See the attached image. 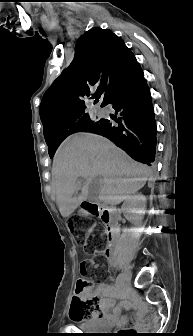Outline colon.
<instances>
[{
  "label": "colon",
  "mask_w": 193,
  "mask_h": 336,
  "mask_svg": "<svg viewBox=\"0 0 193 336\" xmlns=\"http://www.w3.org/2000/svg\"><path fill=\"white\" fill-rule=\"evenodd\" d=\"M79 220L70 219L68 223L69 229L74 232L75 240L78 244L84 246L87 252L99 253L102 251V244L98 241L95 234H87L83 230H79ZM94 224L87 223V230L92 231ZM91 265L90 260H84L80 264L81 278L76 284L75 294L71 301L70 317L74 321H83L91 318L94 314L101 311V299L96 294H87L92 287V281L88 278V268Z\"/></svg>",
  "instance_id": "obj_1"
}]
</instances>
